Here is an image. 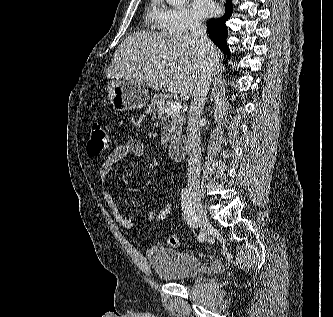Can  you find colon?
<instances>
[{"label":"colon","instance_id":"1","mask_svg":"<svg viewBox=\"0 0 333 317\" xmlns=\"http://www.w3.org/2000/svg\"><path fill=\"white\" fill-rule=\"evenodd\" d=\"M110 142V137L106 130L100 124L94 123L86 146L88 155L92 157L100 155L109 147ZM173 212V206L170 203L164 204L154 212V221L157 223L170 221L173 217ZM167 243L172 248H178L181 244L179 237L175 234L168 236Z\"/></svg>","mask_w":333,"mask_h":317}]
</instances>
